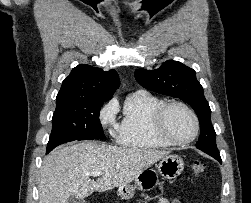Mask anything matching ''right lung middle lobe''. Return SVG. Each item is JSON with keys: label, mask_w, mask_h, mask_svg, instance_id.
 <instances>
[{"label": "right lung middle lobe", "mask_w": 251, "mask_h": 203, "mask_svg": "<svg viewBox=\"0 0 251 203\" xmlns=\"http://www.w3.org/2000/svg\"><path fill=\"white\" fill-rule=\"evenodd\" d=\"M105 101H77L56 107L46 153L74 140L103 139L99 112Z\"/></svg>", "instance_id": "1"}]
</instances>
